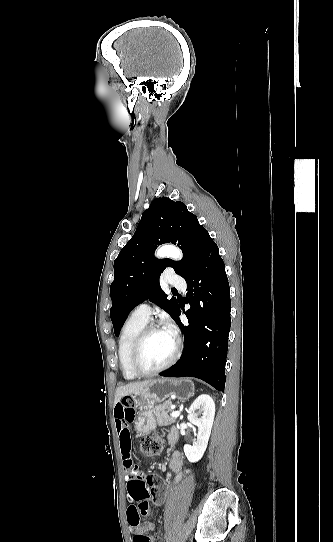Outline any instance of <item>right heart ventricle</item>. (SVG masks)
I'll list each match as a JSON object with an SVG mask.
<instances>
[{
	"label": "right heart ventricle",
	"instance_id": "right-heart-ventricle-1",
	"mask_svg": "<svg viewBox=\"0 0 333 542\" xmlns=\"http://www.w3.org/2000/svg\"><path fill=\"white\" fill-rule=\"evenodd\" d=\"M147 322L129 318L125 323L119 338V365L122 375L125 379L133 380L137 378V375L133 373L129 364L130 350L133 342L140 333V331L146 326Z\"/></svg>",
	"mask_w": 333,
	"mask_h": 542
}]
</instances>
